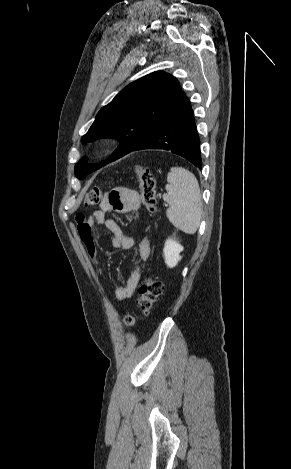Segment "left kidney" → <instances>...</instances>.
<instances>
[{
  "instance_id": "obj_1",
  "label": "left kidney",
  "mask_w": 291,
  "mask_h": 469,
  "mask_svg": "<svg viewBox=\"0 0 291 469\" xmlns=\"http://www.w3.org/2000/svg\"><path fill=\"white\" fill-rule=\"evenodd\" d=\"M182 251L183 246H181L176 240L171 238L166 240L163 253L165 263L169 268H173L178 264L181 260L180 252Z\"/></svg>"
}]
</instances>
